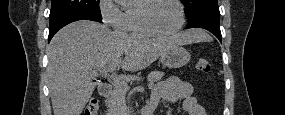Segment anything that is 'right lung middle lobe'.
<instances>
[{"mask_svg":"<svg viewBox=\"0 0 285 115\" xmlns=\"http://www.w3.org/2000/svg\"><path fill=\"white\" fill-rule=\"evenodd\" d=\"M50 23L69 15H86L101 19L99 0H51Z\"/></svg>","mask_w":285,"mask_h":115,"instance_id":"1","label":"right lung middle lobe"}]
</instances>
